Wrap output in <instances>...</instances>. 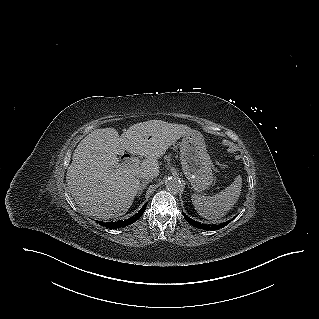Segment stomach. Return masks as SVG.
<instances>
[{
  "instance_id": "obj_1",
  "label": "stomach",
  "mask_w": 319,
  "mask_h": 319,
  "mask_svg": "<svg viewBox=\"0 0 319 319\" xmlns=\"http://www.w3.org/2000/svg\"><path fill=\"white\" fill-rule=\"evenodd\" d=\"M180 159L183 173L193 190L201 192L212 184V163L201 133L192 130L182 136Z\"/></svg>"
}]
</instances>
